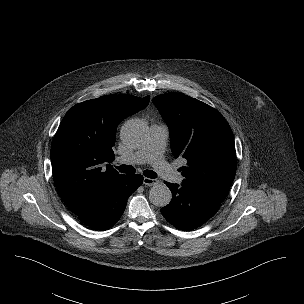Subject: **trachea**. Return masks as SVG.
<instances>
[{"instance_id":"obj_1","label":"trachea","mask_w":304,"mask_h":304,"mask_svg":"<svg viewBox=\"0 0 304 304\" xmlns=\"http://www.w3.org/2000/svg\"><path fill=\"white\" fill-rule=\"evenodd\" d=\"M121 173H135V168L131 165H121L116 167ZM143 175L148 178H156L157 174L152 170H144Z\"/></svg>"}]
</instances>
